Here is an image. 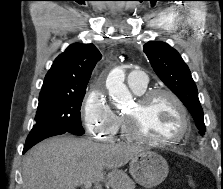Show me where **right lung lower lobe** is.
<instances>
[{"label": "right lung lower lobe", "mask_w": 223, "mask_h": 189, "mask_svg": "<svg viewBox=\"0 0 223 189\" xmlns=\"http://www.w3.org/2000/svg\"><path fill=\"white\" fill-rule=\"evenodd\" d=\"M67 131L62 129H35L31 130L29 133L25 146L23 149V153H25L29 148L37 144L38 142L55 135H61L66 133Z\"/></svg>", "instance_id": "98d812e1"}]
</instances>
